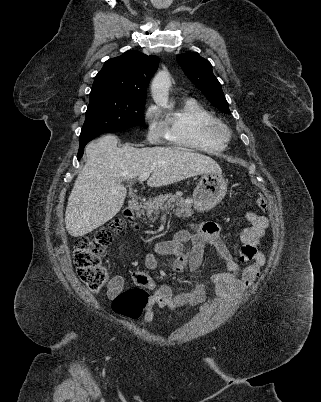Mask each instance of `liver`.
Masks as SVG:
<instances>
[{"mask_svg": "<svg viewBox=\"0 0 321 402\" xmlns=\"http://www.w3.org/2000/svg\"><path fill=\"white\" fill-rule=\"evenodd\" d=\"M105 135L86 147L87 162L77 176L65 212L73 237L84 236L112 219L122 208L127 190L122 181L149 172L150 187H161L207 172L222 173L212 158L182 147H117Z\"/></svg>", "mask_w": 321, "mask_h": 402, "instance_id": "1", "label": "liver"}]
</instances>
